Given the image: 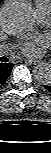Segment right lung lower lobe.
Returning a JSON list of instances; mask_svg holds the SVG:
<instances>
[{"instance_id": "98d812e1", "label": "right lung lower lobe", "mask_w": 51, "mask_h": 153, "mask_svg": "<svg viewBox=\"0 0 51 153\" xmlns=\"http://www.w3.org/2000/svg\"><path fill=\"white\" fill-rule=\"evenodd\" d=\"M13 66L14 64L12 63H0V88L11 74Z\"/></svg>"}]
</instances>
